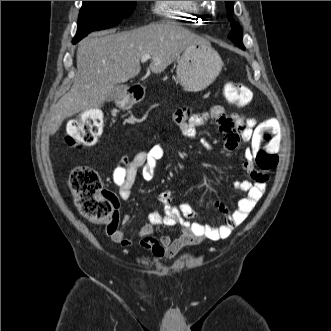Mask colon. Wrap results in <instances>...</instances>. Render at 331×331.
I'll use <instances>...</instances> for the list:
<instances>
[{"instance_id": "colon-1", "label": "colon", "mask_w": 331, "mask_h": 331, "mask_svg": "<svg viewBox=\"0 0 331 331\" xmlns=\"http://www.w3.org/2000/svg\"><path fill=\"white\" fill-rule=\"evenodd\" d=\"M224 95L229 103L244 106L250 100V90L240 83H227ZM103 114L97 109L81 113L67 126L65 141L70 146L91 145L103 131ZM281 139V124L276 118L259 123L253 134L255 161L262 171L274 169L278 162L277 149ZM69 186L78 211L88 220L100 225H113L115 196L103 188L95 170L86 166L72 169Z\"/></svg>"}]
</instances>
